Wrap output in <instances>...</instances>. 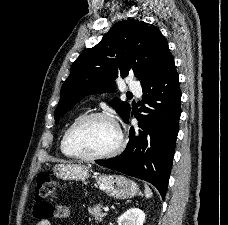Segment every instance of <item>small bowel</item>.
<instances>
[{
    "mask_svg": "<svg viewBox=\"0 0 228 225\" xmlns=\"http://www.w3.org/2000/svg\"><path fill=\"white\" fill-rule=\"evenodd\" d=\"M42 203L33 205L35 212H37L35 218H67L70 216V209L66 206L59 205V203L48 204V199H43ZM37 225H52V222L50 219H41Z\"/></svg>",
    "mask_w": 228,
    "mask_h": 225,
    "instance_id": "obj_1",
    "label": "small bowel"
}]
</instances>
